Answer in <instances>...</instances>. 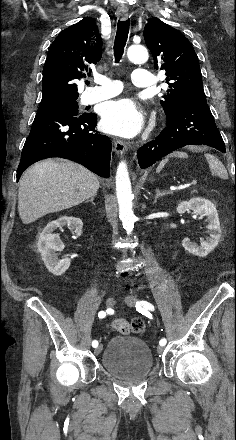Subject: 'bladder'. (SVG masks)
Listing matches in <instances>:
<instances>
[{
  "mask_svg": "<svg viewBox=\"0 0 236 440\" xmlns=\"http://www.w3.org/2000/svg\"><path fill=\"white\" fill-rule=\"evenodd\" d=\"M106 371L118 378L145 375L153 368V356L149 346L141 339L115 336L102 353Z\"/></svg>",
  "mask_w": 236,
  "mask_h": 440,
  "instance_id": "obj_1",
  "label": "bladder"
}]
</instances>
